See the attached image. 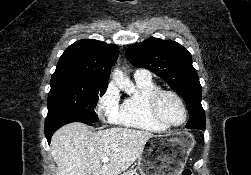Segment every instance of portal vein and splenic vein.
Wrapping results in <instances>:
<instances>
[{
	"mask_svg": "<svg viewBox=\"0 0 251 175\" xmlns=\"http://www.w3.org/2000/svg\"><path fill=\"white\" fill-rule=\"evenodd\" d=\"M101 161H104L105 163V161H109V157H102Z\"/></svg>",
	"mask_w": 251,
	"mask_h": 175,
	"instance_id": "portal-vein-and-splenic-vein-1",
	"label": "portal vein and splenic vein"
}]
</instances>
